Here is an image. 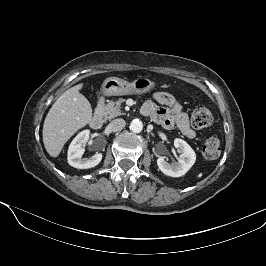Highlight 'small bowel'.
I'll return each mask as SVG.
<instances>
[{
  "mask_svg": "<svg viewBox=\"0 0 266 266\" xmlns=\"http://www.w3.org/2000/svg\"><path fill=\"white\" fill-rule=\"evenodd\" d=\"M154 101H147L142 106V113L151 117L156 123L167 129L177 127L187 138L196 137L195 130L191 127L188 115L182 110L177 99L166 92H156Z\"/></svg>",
  "mask_w": 266,
  "mask_h": 266,
  "instance_id": "obj_1",
  "label": "small bowel"
}]
</instances>
